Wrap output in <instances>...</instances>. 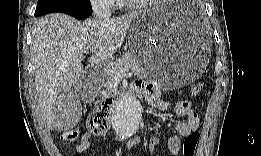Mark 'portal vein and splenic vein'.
Here are the masks:
<instances>
[{
    "instance_id": "obj_1",
    "label": "portal vein and splenic vein",
    "mask_w": 261,
    "mask_h": 156,
    "mask_svg": "<svg viewBox=\"0 0 261 156\" xmlns=\"http://www.w3.org/2000/svg\"><path fill=\"white\" fill-rule=\"evenodd\" d=\"M83 59H84V56H81L80 61H82ZM126 71H128L127 67L120 68L117 70L116 76H123Z\"/></svg>"
}]
</instances>
